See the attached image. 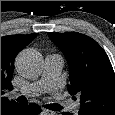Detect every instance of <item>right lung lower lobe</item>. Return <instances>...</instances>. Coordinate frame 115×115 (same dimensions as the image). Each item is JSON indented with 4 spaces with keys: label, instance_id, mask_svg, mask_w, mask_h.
I'll list each match as a JSON object with an SVG mask.
<instances>
[{
    "label": "right lung lower lobe",
    "instance_id": "right-lung-lower-lobe-1",
    "mask_svg": "<svg viewBox=\"0 0 115 115\" xmlns=\"http://www.w3.org/2000/svg\"><path fill=\"white\" fill-rule=\"evenodd\" d=\"M40 112V106L34 103H30L29 105L18 104L15 106L8 107L1 112V115H37Z\"/></svg>",
    "mask_w": 115,
    "mask_h": 115
}]
</instances>
